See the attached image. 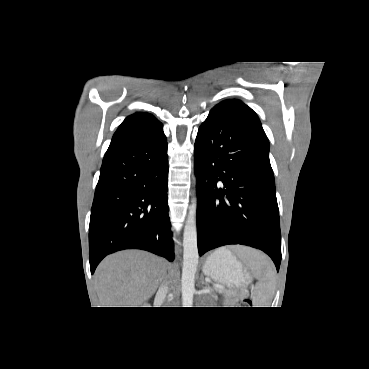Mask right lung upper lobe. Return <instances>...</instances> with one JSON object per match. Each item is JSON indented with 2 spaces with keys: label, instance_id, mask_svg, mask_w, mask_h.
<instances>
[{
  "label": "right lung upper lobe",
  "instance_id": "1",
  "mask_svg": "<svg viewBox=\"0 0 369 369\" xmlns=\"http://www.w3.org/2000/svg\"><path fill=\"white\" fill-rule=\"evenodd\" d=\"M162 129V124L149 113H135L128 116L113 135L111 144L113 147Z\"/></svg>",
  "mask_w": 369,
  "mask_h": 369
}]
</instances>
